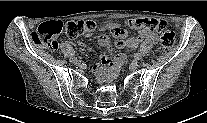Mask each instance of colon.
Returning <instances> with one entry per match:
<instances>
[{
    "label": "colon",
    "mask_w": 207,
    "mask_h": 123,
    "mask_svg": "<svg viewBox=\"0 0 207 123\" xmlns=\"http://www.w3.org/2000/svg\"><path fill=\"white\" fill-rule=\"evenodd\" d=\"M125 24L131 29H149L156 31L161 37L162 50L170 49L174 46V34L168 29L166 22L163 20L154 18H132L126 20ZM97 27V22L93 20L70 21L65 27L58 21L46 22L39 25L38 28L31 33V40L34 44L45 45L55 50L59 45L58 36L63 29L68 38L76 39L82 35L92 34ZM122 62L123 58L116 64L115 71Z\"/></svg>",
    "instance_id": "5ec220e1"
}]
</instances>
